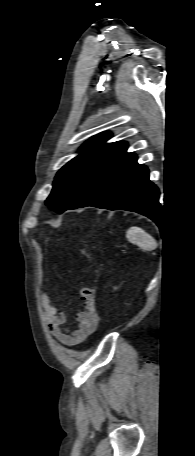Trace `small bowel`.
<instances>
[{"instance_id":"c3829d8e","label":"small bowel","mask_w":195,"mask_h":456,"mask_svg":"<svg viewBox=\"0 0 195 456\" xmlns=\"http://www.w3.org/2000/svg\"><path fill=\"white\" fill-rule=\"evenodd\" d=\"M39 295L43 308V317L49 332L63 345H77L96 330L98 315L94 290L83 288L79 292L83 310L76 316L78 326L75 329L66 326L65 313L59 311L56 306L51 304L49 296L44 291H40Z\"/></svg>"}]
</instances>
